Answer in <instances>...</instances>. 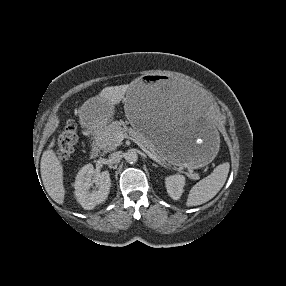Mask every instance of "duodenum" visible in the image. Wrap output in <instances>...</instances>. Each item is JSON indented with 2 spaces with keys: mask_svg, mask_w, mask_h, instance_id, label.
<instances>
[{
  "mask_svg": "<svg viewBox=\"0 0 286 286\" xmlns=\"http://www.w3.org/2000/svg\"><path fill=\"white\" fill-rule=\"evenodd\" d=\"M100 154V148L97 144H94L90 150V157L97 158Z\"/></svg>",
  "mask_w": 286,
  "mask_h": 286,
  "instance_id": "410a0bca",
  "label": "duodenum"
}]
</instances>
